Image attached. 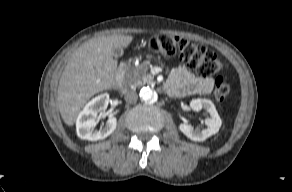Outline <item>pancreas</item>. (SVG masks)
I'll return each mask as SVG.
<instances>
[{
  "instance_id": "obj_1",
  "label": "pancreas",
  "mask_w": 292,
  "mask_h": 192,
  "mask_svg": "<svg viewBox=\"0 0 292 192\" xmlns=\"http://www.w3.org/2000/svg\"><path fill=\"white\" fill-rule=\"evenodd\" d=\"M127 81L134 86L153 83L154 77L148 73V63L143 62L138 67L133 68L127 73Z\"/></svg>"
}]
</instances>
